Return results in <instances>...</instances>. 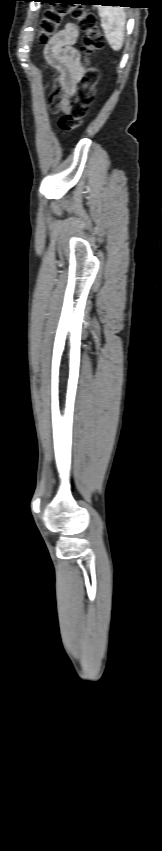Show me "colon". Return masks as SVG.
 <instances>
[{"label": "colon", "instance_id": "colon-1", "mask_svg": "<svg viewBox=\"0 0 162 851\" xmlns=\"http://www.w3.org/2000/svg\"><path fill=\"white\" fill-rule=\"evenodd\" d=\"M71 16L83 32L81 51L86 56L85 71L75 96L70 100L67 111L59 120V127L64 134H69L80 127L88 108L94 99V88L99 78V71L91 65V57L104 48L105 38L100 32L94 14L87 12L81 6L56 4L44 12L40 23L38 41L45 44L54 36L65 16Z\"/></svg>", "mask_w": 162, "mask_h": 851}]
</instances>
